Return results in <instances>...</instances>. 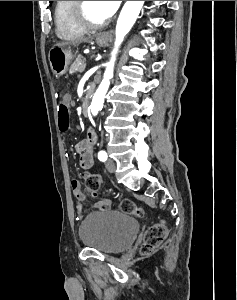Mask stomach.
<instances>
[{
	"label": "stomach",
	"mask_w": 237,
	"mask_h": 300,
	"mask_svg": "<svg viewBox=\"0 0 237 300\" xmlns=\"http://www.w3.org/2000/svg\"><path fill=\"white\" fill-rule=\"evenodd\" d=\"M101 35H109V33H97V35H94V39H96V43L99 47H107L109 39H99ZM48 57L53 73L60 77V75H65V73H67L74 55L71 49H65V47H52Z\"/></svg>",
	"instance_id": "obj_1"
}]
</instances>
